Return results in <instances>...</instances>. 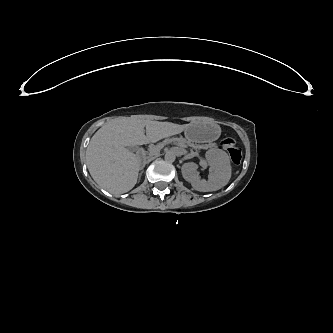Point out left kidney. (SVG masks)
Instances as JSON below:
<instances>
[{"instance_id": "5707ae66", "label": "left kidney", "mask_w": 333, "mask_h": 333, "mask_svg": "<svg viewBox=\"0 0 333 333\" xmlns=\"http://www.w3.org/2000/svg\"><path fill=\"white\" fill-rule=\"evenodd\" d=\"M205 159L209 166L208 179H202L197 169L198 165L188 162L182 166L184 179L191 183L192 187L200 192L217 191L224 187L230 180L232 169L227 154L220 150H208Z\"/></svg>"}]
</instances>
